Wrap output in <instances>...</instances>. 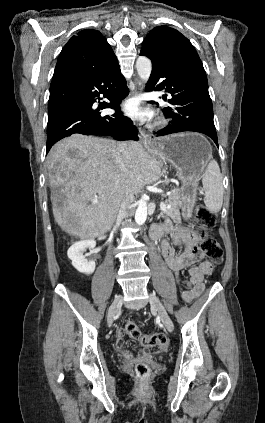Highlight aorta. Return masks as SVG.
<instances>
[{"instance_id":"aorta-1","label":"aorta","mask_w":265,"mask_h":423,"mask_svg":"<svg viewBox=\"0 0 265 423\" xmlns=\"http://www.w3.org/2000/svg\"><path fill=\"white\" fill-rule=\"evenodd\" d=\"M136 69L137 73L142 80V82L145 84L149 80L151 71H152V63L151 60L145 56H139L136 61ZM147 202L145 197H142L137 202V209L135 211V222L138 225H142L145 223L147 219Z\"/></svg>"}]
</instances>
